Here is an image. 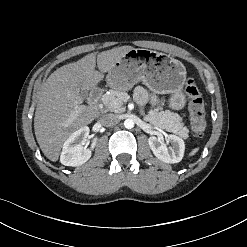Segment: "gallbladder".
Here are the masks:
<instances>
[{"instance_id":"bac80fb5","label":"gallbladder","mask_w":247,"mask_h":247,"mask_svg":"<svg viewBox=\"0 0 247 247\" xmlns=\"http://www.w3.org/2000/svg\"><path fill=\"white\" fill-rule=\"evenodd\" d=\"M81 94H82L83 96H86V95H87V92H86V91H82Z\"/></svg>"}]
</instances>
